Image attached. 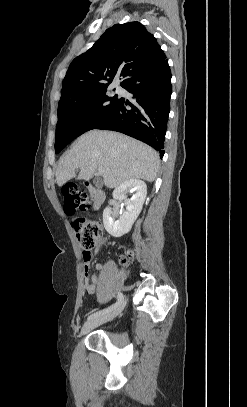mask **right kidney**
Wrapping results in <instances>:
<instances>
[{
    "label": "right kidney",
    "instance_id": "obj_1",
    "mask_svg": "<svg viewBox=\"0 0 247 407\" xmlns=\"http://www.w3.org/2000/svg\"><path fill=\"white\" fill-rule=\"evenodd\" d=\"M135 192L131 199H127L126 192ZM147 195V186L145 182L139 179H130L121 183L113 191V198L120 202H124L126 210L117 220L114 217L118 216V212L106 207L103 211V224L106 231L113 237L119 238L128 233L135 220L139 216L145 198Z\"/></svg>",
    "mask_w": 247,
    "mask_h": 407
}]
</instances>
